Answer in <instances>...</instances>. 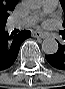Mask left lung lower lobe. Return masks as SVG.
<instances>
[{"mask_svg":"<svg viewBox=\"0 0 65 89\" xmlns=\"http://www.w3.org/2000/svg\"><path fill=\"white\" fill-rule=\"evenodd\" d=\"M63 39H65L64 36ZM58 45L59 49L57 53L52 55H45V58L53 67L60 70H65V44L61 45L58 43Z\"/></svg>","mask_w":65,"mask_h":89,"instance_id":"obj_1","label":"left lung lower lobe"}]
</instances>
